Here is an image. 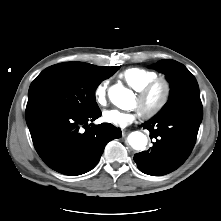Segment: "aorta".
<instances>
[{"label": "aorta", "mask_w": 221, "mask_h": 221, "mask_svg": "<svg viewBox=\"0 0 221 221\" xmlns=\"http://www.w3.org/2000/svg\"><path fill=\"white\" fill-rule=\"evenodd\" d=\"M111 102L120 109H127L129 99L132 96L131 90L122 85H114L108 92ZM147 137L139 131H134L128 135V143L135 150H143L147 145Z\"/></svg>", "instance_id": "obj_1"}]
</instances>
